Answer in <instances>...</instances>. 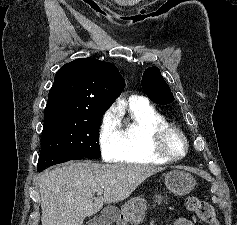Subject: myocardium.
Here are the masks:
<instances>
[{
  "label": "myocardium",
  "instance_id": "obj_1",
  "mask_svg": "<svg viewBox=\"0 0 237 225\" xmlns=\"http://www.w3.org/2000/svg\"><path fill=\"white\" fill-rule=\"evenodd\" d=\"M178 138L182 144V151L175 153L170 148V140ZM152 148L157 156L167 161H177L184 158L188 152V140L184 133L172 126L164 125L155 128L151 133Z\"/></svg>",
  "mask_w": 237,
  "mask_h": 225
}]
</instances>
